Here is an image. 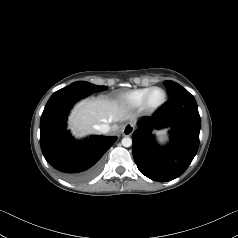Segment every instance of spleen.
<instances>
[{"label":"spleen","mask_w":238,"mask_h":238,"mask_svg":"<svg viewBox=\"0 0 238 238\" xmlns=\"http://www.w3.org/2000/svg\"><path fill=\"white\" fill-rule=\"evenodd\" d=\"M165 135H166V132L163 131V132H162V136H161V138H160L161 141H164V140L166 139V136H165Z\"/></svg>","instance_id":"3e777b00"}]
</instances>
